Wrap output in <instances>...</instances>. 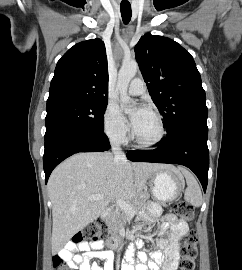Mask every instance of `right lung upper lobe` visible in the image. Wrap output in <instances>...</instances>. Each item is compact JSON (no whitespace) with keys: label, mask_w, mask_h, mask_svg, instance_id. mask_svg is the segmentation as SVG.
Listing matches in <instances>:
<instances>
[{"label":"right lung upper lobe","mask_w":242,"mask_h":270,"mask_svg":"<svg viewBox=\"0 0 242 270\" xmlns=\"http://www.w3.org/2000/svg\"><path fill=\"white\" fill-rule=\"evenodd\" d=\"M70 100H108L107 56L101 39L74 45L58 61L47 105Z\"/></svg>","instance_id":"cb5924a9"}]
</instances>
